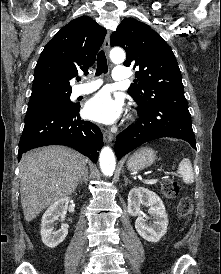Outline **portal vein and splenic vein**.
<instances>
[{
    "label": "portal vein and splenic vein",
    "mask_w": 221,
    "mask_h": 274,
    "mask_svg": "<svg viewBox=\"0 0 221 274\" xmlns=\"http://www.w3.org/2000/svg\"><path fill=\"white\" fill-rule=\"evenodd\" d=\"M144 182L147 183V184H155V183L158 182V180L157 179H150V180H145Z\"/></svg>",
    "instance_id": "1"
}]
</instances>
